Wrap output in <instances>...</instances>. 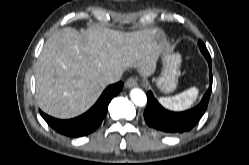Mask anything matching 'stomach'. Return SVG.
Listing matches in <instances>:
<instances>
[{"mask_svg": "<svg viewBox=\"0 0 249 165\" xmlns=\"http://www.w3.org/2000/svg\"><path fill=\"white\" fill-rule=\"evenodd\" d=\"M163 71L156 84L165 93L173 92L177 87L181 55L162 50Z\"/></svg>", "mask_w": 249, "mask_h": 165, "instance_id": "obj_1", "label": "stomach"}]
</instances>
